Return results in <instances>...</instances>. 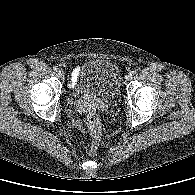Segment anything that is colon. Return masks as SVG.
<instances>
[{
    "instance_id": "5ec220e1",
    "label": "colon",
    "mask_w": 195,
    "mask_h": 195,
    "mask_svg": "<svg viewBox=\"0 0 195 195\" xmlns=\"http://www.w3.org/2000/svg\"><path fill=\"white\" fill-rule=\"evenodd\" d=\"M87 127L93 136V142L90 147V152L94 154L97 149V142L100 138L101 129H102L100 118L95 112H90L87 115Z\"/></svg>"
}]
</instances>
